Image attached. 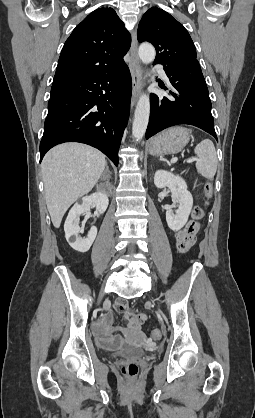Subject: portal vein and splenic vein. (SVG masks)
<instances>
[{
    "mask_svg": "<svg viewBox=\"0 0 255 418\" xmlns=\"http://www.w3.org/2000/svg\"><path fill=\"white\" fill-rule=\"evenodd\" d=\"M177 160H178V158L177 157H174V158L171 159V163H175V162H177ZM196 160L197 159H195V158H190V159L187 160V162L188 163H192V162H194Z\"/></svg>",
    "mask_w": 255,
    "mask_h": 418,
    "instance_id": "obj_1",
    "label": "portal vein and splenic vein"
}]
</instances>
